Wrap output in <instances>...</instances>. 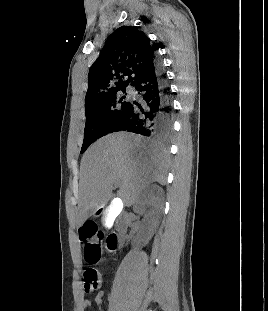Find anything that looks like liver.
Masks as SVG:
<instances>
[{
	"instance_id": "1",
	"label": "liver",
	"mask_w": 268,
	"mask_h": 311,
	"mask_svg": "<svg viewBox=\"0 0 268 311\" xmlns=\"http://www.w3.org/2000/svg\"><path fill=\"white\" fill-rule=\"evenodd\" d=\"M167 169L166 153L140 136L119 132L99 139L81 160L77 224L108 203L116 182L118 197L130 207L150 183L166 184Z\"/></svg>"
}]
</instances>
